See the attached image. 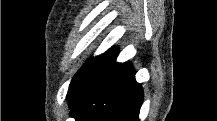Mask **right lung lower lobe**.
<instances>
[{
  "label": "right lung lower lobe",
  "mask_w": 217,
  "mask_h": 121,
  "mask_svg": "<svg viewBox=\"0 0 217 121\" xmlns=\"http://www.w3.org/2000/svg\"><path fill=\"white\" fill-rule=\"evenodd\" d=\"M116 56V49L105 52L69 89L70 116L76 121H138L142 87L131 63H117Z\"/></svg>",
  "instance_id": "1"
}]
</instances>
